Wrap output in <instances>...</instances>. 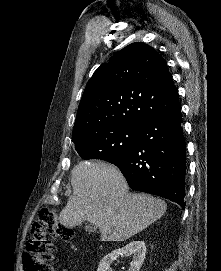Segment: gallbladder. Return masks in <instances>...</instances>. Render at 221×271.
Wrapping results in <instances>:
<instances>
[{"label":"gallbladder","mask_w":221,"mask_h":271,"mask_svg":"<svg viewBox=\"0 0 221 271\" xmlns=\"http://www.w3.org/2000/svg\"><path fill=\"white\" fill-rule=\"evenodd\" d=\"M97 225H93V223H90V225H85V231H96Z\"/></svg>","instance_id":"obj_1"}]
</instances>
